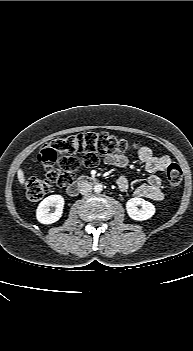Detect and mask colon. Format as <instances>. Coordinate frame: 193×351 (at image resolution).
Segmentation results:
<instances>
[{"label":"colon","mask_w":193,"mask_h":351,"mask_svg":"<svg viewBox=\"0 0 193 351\" xmlns=\"http://www.w3.org/2000/svg\"><path fill=\"white\" fill-rule=\"evenodd\" d=\"M138 146L136 141L119 138L107 132H89L58 138L40 149L37 165L44 168L47 175L45 178H32L26 182V197L31 201H38L49 193L53 183L59 188L68 186L82 167H95L103 156L135 151ZM77 154L81 156L78 157ZM182 177L178 164L168 165L166 181L169 188L178 187Z\"/></svg>","instance_id":"colon-1"}]
</instances>
